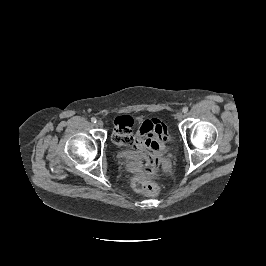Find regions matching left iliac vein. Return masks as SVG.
I'll return each mask as SVG.
<instances>
[{
  "label": "left iliac vein",
  "mask_w": 266,
  "mask_h": 266,
  "mask_svg": "<svg viewBox=\"0 0 266 266\" xmlns=\"http://www.w3.org/2000/svg\"><path fill=\"white\" fill-rule=\"evenodd\" d=\"M176 118H177V120L181 121L184 118V114L182 112H178L176 114Z\"/></svg>",
  "instance_id": "1"
}]
</instances>
